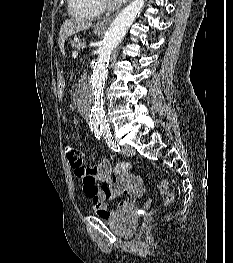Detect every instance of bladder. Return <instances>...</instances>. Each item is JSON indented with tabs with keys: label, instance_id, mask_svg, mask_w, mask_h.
<instances>
[{
	"label": "bladder",
	"instance_id": "31cf9c89",
	"mask_svg": "<svg viewBox=\"0 0 233 263\" xmlns=\"http://www.w3.org/2000/svg\"><path fill=\"white\" fill-rule=\"evenodd\" d=\"M106 222L111 230L123 237H131L138 224V214L132 208L116 209Z\"/></svg>",
	"mask_w": 233,
	"mask_h": 263
}]
</instances>
